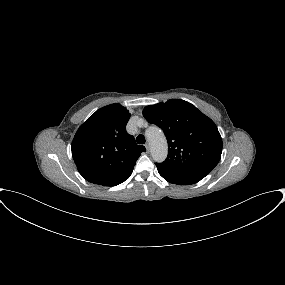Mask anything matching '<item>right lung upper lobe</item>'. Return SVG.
Masks as SVG:
<instances>
[{
  "mask_svg": "<svg viewBox=\"0 0 285 285\" xmlns=\"http://www.w3.org/2000/svg\"><path fill=\"white\" fill-rule=\"evenodd\" d=\"M130 113L120 104L97 110L77 130L72 156L80 174L89 182L115 186L132 174L144 146L126 132Z\"/></svg>",
  "mask_w": 285,
  "mask_h": 285,
  "instance_id": "cb5924a9",
  "label": "right lung upper lobe"
}]
</instances>
